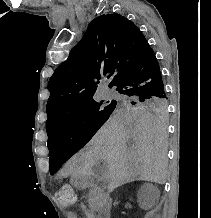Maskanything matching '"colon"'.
<instances>
[{"label":"colon","mask_w":211,"mask_h":218,"mask_svg":"<svg viewBox=\"0 0 211 218\" xmlns=\"http://www.w3.org/2000/svg\"><path fill=\"white\" fill-rule=\"evenodd\" d=\"M57 198L62 203L70 204L75 201L76 197L72 187L69 184H64L58 189Z\"/></svg>","instance_id":"colon-1"}]
</instances>
